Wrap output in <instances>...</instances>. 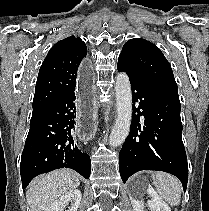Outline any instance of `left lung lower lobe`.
<instances>
[{
    "instance_id": "1",
    "label": "left lung lower lobe",
    "mask_w": 209,
    "mask_h": 211,
    "mask_svg": "<svg viewBox=\"0 0 209 211\" xmlns=\"http://www.w3.org/2000/svg\"><path fill=\"white\" fill-rule=\"evenodd\" d=\"M133 93L134 115L129 136L119 153V170L125 183L135 172L159 170L177 176L186 191L188 164L181 133L178 93L161 89L135 74L123 61ZM141 110V111H140ZM144 116V124L140 123Z\"/></svg>"
}]
</instances>
